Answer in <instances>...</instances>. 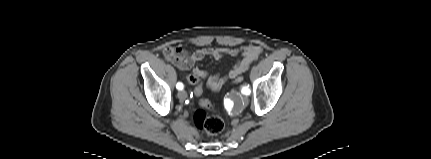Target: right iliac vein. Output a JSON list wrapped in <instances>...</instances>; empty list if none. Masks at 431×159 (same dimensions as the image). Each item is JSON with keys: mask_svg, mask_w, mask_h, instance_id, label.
Segmentation results:
<instances>
[{"mask_svg": "<svg viewBox=\"0 0 431 159\" xmlns=\"http://www.w3.org/2000/svg\"><path fill=\"white\" fill-rule=\"evenodd\" d=\"M178 98H179L180 100H184V99H186V98H187V93H186V91L181 90V91L178 93Z\"/></svg>", "mask_w": 431, "mask_h": 159, "instance_id": "obj_1", "label": "right iliac vein"}]
</instances>
